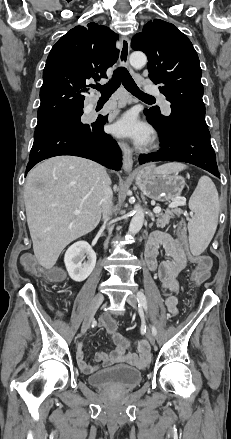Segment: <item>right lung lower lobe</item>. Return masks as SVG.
Returning a JSON list of instances; mask_svg holds the SVG:
<instances>
[{
    "mask_svg": "<svg viewBox=\"0 0 231 439\" xmlns=\"http://www.w3.org/2000/svg\"><path fill=\"white\" fill-rule=\"evenodd\" d=\"M106 122L107 116H100L90 124L56 123L35 130L26 172L38 162L58 155L84 157L109 169L120 170L121 150L116 141L104 133Z\"/></svg>",
    "mask_w": 231,
    "mask_h": 439,
    "instance_id": "right-lung-lower-lobe-1",
    "label": "right lung lower lobe"
}]
</instances>
